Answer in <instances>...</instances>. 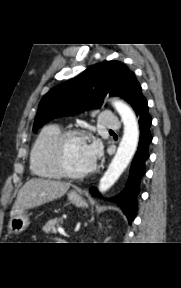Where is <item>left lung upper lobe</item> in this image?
Listing matches in <instances>:
<instances>
[{
	"instance_id": "left-lung-upper-lobe-1",
	"label": "left lung upper lobe",
	"mask_w": 181,
	"mask_h": 288,
	"mask_svg": "<svg viewBox=\"0 0 181 288\" xmlns=\"http://www.w3.org/2000/svg\"><path fill=\"white\" fill-rule=\"evenodd\" d=\"M141 89L135 74L122 62L105 61L51 89L40 101L33 131L54 118L99 108L103 98L121 96L130 104Z\"/></svg>"
}]
</instances>
